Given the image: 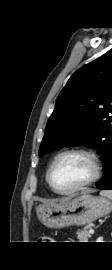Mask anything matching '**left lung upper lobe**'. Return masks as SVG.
Wrapping results in <instances>:
<instances>
[{"mask_svg":"<svg viewBox=\"0 0 112 270\" xmlns=\"http://www.w3.org/2000/svg\"><path fill=\"white\" fill-rule=\"evenodd\" d=\"M112 154V49L77 70L60 92L47 122L39 155L64 146Z\"/></svg>","mask_w":112,"mask_h":270,"instance_id":"5c2ea615","label":"left lung upper lobe"}]
</instances>
